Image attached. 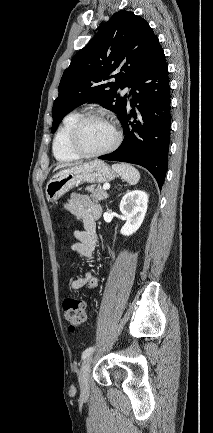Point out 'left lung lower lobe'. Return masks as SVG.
I'll list each match as a JSON object with an SVG mask.
<instances>
[{
    "mask_svg": "<svg viewBox=\"0 0 213 433\" xmlns=\"http://www.w3.org/2000/svg\"><path fill=\"white\" fill-rule=\"evenodd\" d=\"M130 94L133 107L120 118L125 132L120 147L99 159L141 165L162 187L168 162L171 107L168 66L160 46L152 60L134 81ZM136 107V110L134 108ZM133 121L129 122V119Z\"/></svg>",
    "mask_w": 213,
    "mask_h": 433,
    "instance_id": "left-lung-lower-lobe-1",
    "label": "left lung lower lobe"
}]
</instances>
